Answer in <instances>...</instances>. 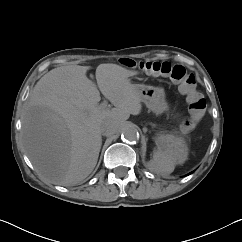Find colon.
I'll list each match as a JSON object with an SVG mask.
<instances>
[{
    "label": "colon",
    "mask_w": 242,
    "mask_h": 242,
    "mask_svg": "<svg viewBox=\"0 0 242 242\" xmlns=\"http://www.w3.org/2000/svg\"><path fill=\"white\" fill-rule=\"evenodd\" d=\"M121 63L126 67H137L140 70L154 75L169 78L178 85L179 90L186 95L189 115L185 125L193 128L202 119L206 102L201 93L196 89V80L182 65H174L160 61H135L131 58H122Z\"/></svg>",
    "instance_id": "colon-1"
}]
</instances>
